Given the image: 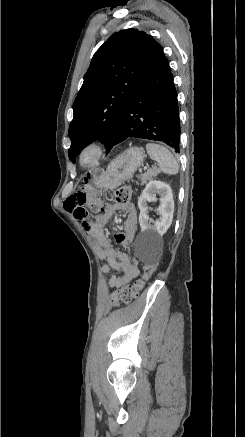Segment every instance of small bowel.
Segmentation results:
<instances>
[{
  "instance_id": "small-bowel-1",
  "label": "small bowel",
  "mask_w": 245,
  "mask_h": 437,
  "mask_svg": "<svg viewBox=\"0 0 245 437\" xmlns=\"http://www.w3.org/2000/svg\"><path fill=\"white\" fill-rule=\"evenodd\" d=\"M78 189L79 191L66 200L65 210L81 221L86 233L90 235L97 254L106 262L102 266V272L109 273L111 269L115 270V273L107 279V284L110 287H123L138 275L137 261L131 259L126 253L113 250L111 240L103 226L111 213L114 211L123 212L126 215L123 230L115 232L114 238L117 243L122 245L131 243L137 231V208L133 203H118L113 205L108 213L92 221V217L88 215L86 210L85 192L88 191L89 186L87 183H80Z\"/></svg>"
}]
</instances>
